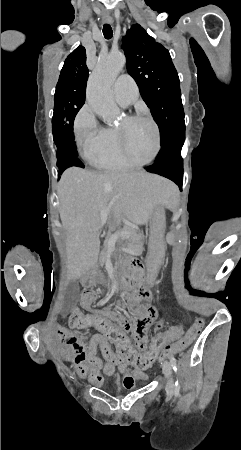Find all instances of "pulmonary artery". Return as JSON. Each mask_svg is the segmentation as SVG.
<instances>
[{
    "label": "pulmonary artery",
    "mask_w": 241,
    "mask_h": 450,
    "mask_svg": "<svg viewBox=\"0 0 241 450\" xmlns=\"http://www.w3.org/2000/svg\"><path fill=\"white\" fill-rule=\"evenodd\" d=\"M136 95L133 80L128 75H121L115 82L114 97L122 106H128Z\"/></svg>",
    "instance_id": "pulmonary-artery-1"
}]
</instances>
